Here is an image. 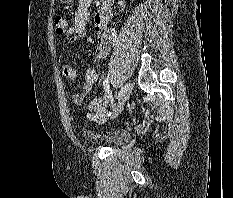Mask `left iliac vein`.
Instances as JSON below:
<instances>
[{
	"mask_svg": "<svg viewBox=\"0 0 233 198\" xmlns=\"http://www.w3.org/2000/svg\"><path fill=\"white\" fill-rule=\"evenodd\" d=\"M131 92H132V83L131 82L125 83L122 86L120 93H119L118 105L114 112V117L117 116L122 111L126 101L129 99L131 95Z\"/></svg>",
	"mask_w": 233,
	"mask_h": 198,
	"instance_id": "obj_1",
	"label": "left iliac vein"
}]
</instances>
